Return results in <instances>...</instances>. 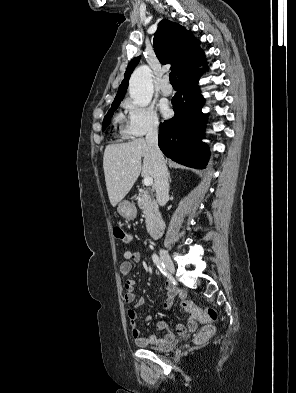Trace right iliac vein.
I'll use <instances>...</instances> for the list:
<instances>
[{
	"mask_svg": "<svg viewBox=\"0 0 296 393\" xmlns=\"http://www.w3.org/2000/svg\"><path fill=\"white\" fill-rule=\"evenodd\" d=\"M160 256H161V259H162L164 265L166 266L167 270L170 273H174L175 267H174L173 261L171 260L168 252L165 251V250H161L160 251Z\"/></svg>",
	"mask_w": 296,
	"mask_h": 393,
	"instance_id": "obj_1",
	"label": "right iliac vein"
}]
</instances>
